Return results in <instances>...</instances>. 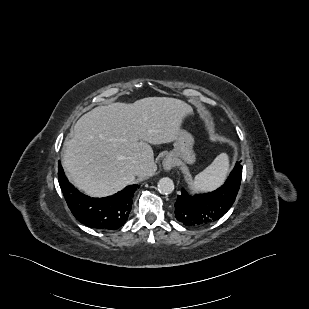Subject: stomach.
<instances>
[{
	"instance_id": "0dacf381",
	"label": "stomach",
	"mask_w": 309,
	"mask_h": 309,
	"mask_svg": "<svg viewBox=\"0 0 309 309\" xmlns=\"http://www.w3.org/2000/svg\"><path fill=\"white\" fill-rule=\"evenodd\" d=\"M194 138L184 129H180L174 141V149L167 154L175 164L184 166L195 162L193 151Z\"/></svg>"
}]
</instances>
